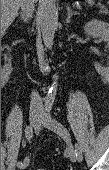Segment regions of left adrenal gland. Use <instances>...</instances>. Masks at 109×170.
<instances>
[{"label":"left adrenal gland","mask_w":109,"mask_h":170,"mask_svg":"<svg viewBox=\"0 0 109 170\" xmlns=\"http://www.w3.org/2000/svg\"><path fill=\"white\" fill-rule=\"evenodd\" d=\"M66 9H67V12H68L66 23H70L71 17L73 15H78L79 13L76 12V11H72V9H71V7L69 5H67Z\"/></svg>","instance_id":"obj_1"}]
</instances>
